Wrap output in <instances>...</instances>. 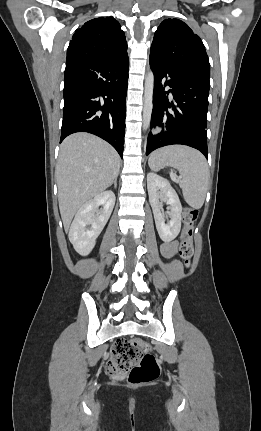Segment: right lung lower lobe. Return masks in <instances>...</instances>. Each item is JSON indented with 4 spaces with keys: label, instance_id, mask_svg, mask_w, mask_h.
<instances>
[{
    "label": "right lung lower lobe",
    "instance_id": "98d812e1",
    "mask_svg": "<svg viewBox=\"0 0 261 431\" xmlns=\"http://www.w3.org/2000/svg\"><path fill=\"white\" fill-rule=\"evenodd\" d=\"M129 60L85 61L66 65L60 142L89 132L109 142L122 158Z\"/></svg>",
    "mask_w": 261,
    "mask_h": 431
}]
</instances>
